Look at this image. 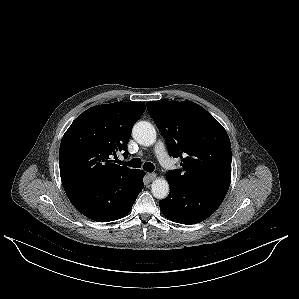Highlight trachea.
<instances>
[{
	"mask_svg": "<svg viewBox=\"0 0 299 299\" xmlns=\"http://www.w3.org/2000/svg\"><path fill=\"white\" fill-rule=\"evenodd\" d=\"M120 164L121 165H127V166H130V167H133V168H140L141 167V160L139 158H134L130 162H121L120 161ZM143 169L147 172H153L154 165L150 162H146L143 165Z\"/></svg>",
	"mask_w": 299,
	"mask_h": 299,
	"instance_id": "obj_1",
	"label": "trachea"
}]
</instances>
